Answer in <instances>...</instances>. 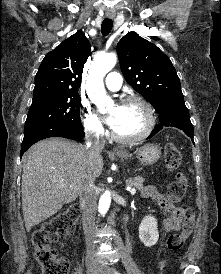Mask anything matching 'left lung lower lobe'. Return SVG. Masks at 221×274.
Returning <instances> with one entry per match:
<instances>
[{
    "label": "left lung lower lobe",
    "instance_id": "1",
    "mask_svg": "<svg viewBox=\"0 0 221 274\" xmlns=\"http://www.w3.org/2000/svg\"><path fill=\"white\" fill-rule=\"evenodd\" d=\"M159 118L160 124L155 126L154 130L151 132L147 139L151 138L163 127L171 126L184 131L186 135H188L193 141V126L190 121L188 109L185 105H181L178 108H172L168 110L166 114L161 115Z\"/></svg>",
    "mask_w": 221,
    "mask_h": 274
}]
</instances>
